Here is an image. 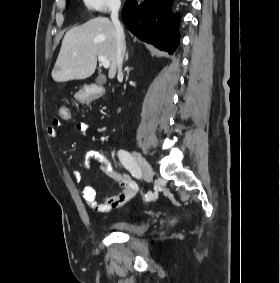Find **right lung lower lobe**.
I'll list each match as a JSON object with an SVG mask.
<instances>
[{
	"instance_id": "98d812e1",
	"label": "right lung lower lobe",
	"mask_w": 280,
	"mask_h": 283,
	"mask_svg": "<svg viewBox=\"0 0 280 283\" xmlns=\"http://www.w3.org/2000/svg\"><path fill=\"white\" fill-rule=\"evenodd\" d=\"M172 0H127L122 18L125 26L140 40L173 53L179 44L180 15L171 13Z\"/></svg>"
}]
</instances>
